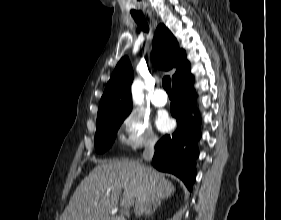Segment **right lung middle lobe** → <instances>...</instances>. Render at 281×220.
I'll use <instances>...</instances> for the list:
<instances>
[{
  "instance_id": "dd1d6c3e",
  "label": "right lung middle lobe",
  "mask_w": 281,
  "mask_h": 220,
  "mask_svg": "<svg viewBox=\"0 0 281 220\" xmlns=\"http://www.w3.org/2000/svg\"><path fill=\"white\" fill-rule=\"evenodd\" d=\"M128 114L103 119L96 123L95 150L104 153L115 139L116 132Z\"/></svg>"
}]
</instances>
